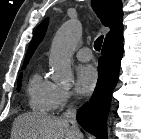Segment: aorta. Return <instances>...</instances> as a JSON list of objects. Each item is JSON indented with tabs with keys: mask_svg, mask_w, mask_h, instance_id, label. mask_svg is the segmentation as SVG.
<instances>
[{
	"mask_svg": "<svg viewBox=\"0 0 141 139\" xmlns=\"http://www.w3.org/2000/svg\"><path fill=\"white\" fill-rule=\"evenodd\" d=\"M81 35L82 27L76 20H69L58 29L52 41L49 58L52 76L56 82L62 84L72 82L71 57Z\"/></svg>",
	"mask_w": 141,
	"mask_h": 139,
	"instance_id": "762f6f07",
	"label": "aorta"
}]
</instances>
